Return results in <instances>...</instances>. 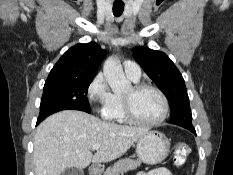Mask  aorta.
Masks as SVG:
<instances>
[{
	"label": "aorta",
	"instance_id": "1",
	"mask_svg": "<svg viewBox=\"0 0 233 175\" xmlns=\"http://www.w3.org/2000/svg\"><path fill=\"white\" fill-rule=\"evenodd\" d=\"M104 76L114 93L123 92L130 87V82L126 79L120 63L109 57L103 66Z\"/></svg>",
	"mask_w": 233,
	"mask_h": 175
}]
</instances>
